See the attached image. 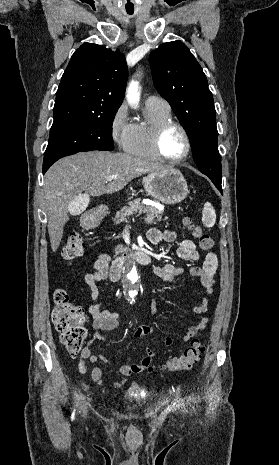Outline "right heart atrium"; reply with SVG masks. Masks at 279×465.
<instances>
[{"mask_svg":"<svg viewBox=\"0 0 279 465\" xmlns=\"http://www.w3.org/2000/svg\"><path fill=\"white\" fill-rule=\"evenodd\" d=\"M133 124L128 118L127 107L122 104L114 111L109 131L112 141L122 150H125L131 140Z\"/></svg>","mask_w":279,"mask_h":465,"instance_id":"d8ad5b80","label":"right heart atrium"}]
</instances>
